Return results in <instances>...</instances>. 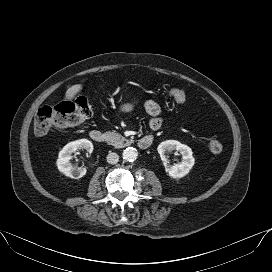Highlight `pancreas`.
<instances>
[{"mask_svg":"<svg viewBox=\"0 0 272 272\" xmlns=\"http://www.w3.org/2000/svg\"><path fill=\"white\" fill-rule=\"evenodd\" d=\"M108 144L113 145L115 148H121L124 146V142L128 140L116 131H108L105 133Z\"/></svg>","mask_w":272,"mask_h":272,"instance_id":"pancreas-1","label":"pancreas"}]
</instances>
